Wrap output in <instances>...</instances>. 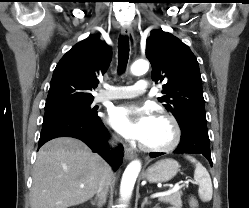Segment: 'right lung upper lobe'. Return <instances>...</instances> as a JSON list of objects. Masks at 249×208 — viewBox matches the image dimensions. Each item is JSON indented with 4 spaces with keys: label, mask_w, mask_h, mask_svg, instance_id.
Segmentation results:
<instances>
[{
    "label": "right lung upper lobe",
    "mask_w": 249,
    "mask_h": 208,
    "mask_svg": "<svg viewBox=\"0 0 249 208\" xmlns=\"http://www.w3.org/2000/svg\"><path fill=\"white\" fill-rule=\"evenodd\" d=\"M111 56L110 46L98 35L74 45L54 70L45 108L93 100L90 91L97 87L98 76L107 71Z\"/></svg>",
    "instance_id": "1"
}]
</instances>
